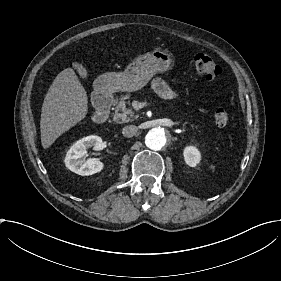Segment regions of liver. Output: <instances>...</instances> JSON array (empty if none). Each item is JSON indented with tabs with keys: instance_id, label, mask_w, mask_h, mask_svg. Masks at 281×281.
I'll return each instance as SVG.
<instances>
[{
	"instance_id": "1",
	"label": "liver",
	"mask_w": 281,
	"mask_h": 281,
	"mask_svg": "<svg viewBox=\"0 0 281 281\" xmlns=\"http://www.w3.org/2000/svg\"><path fill=\"white\" fill-rule=\"evenodd\" d=\"M41 111L40 132L44 148L85 116L86 92L73 69L67 68L57 74Z\"/></svg>"
}]
</instances>
